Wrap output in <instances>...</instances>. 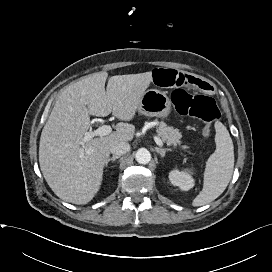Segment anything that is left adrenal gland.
<instances>
[{
  "mask_svg": "<svg viewBox=\"0 0 272 272\" xmlns=\"http://www.w3.org/2000/svg\"><path fill=\"white\" fill-rule=\"evenodd\" d=\"M155 150H156V152L159 153V154L161 155V157H163V158L165 157L166 152L172 151V150L169 149V148L163 149V148H159V147H156Z\"/></svg>",
  "mask_w": 272,
  "mask_h": 272,
  "instance_id": "1",
  "label": "left adrenal gland"
}]
</instances>
